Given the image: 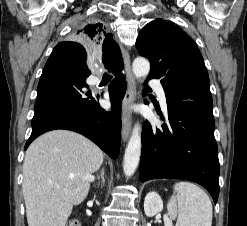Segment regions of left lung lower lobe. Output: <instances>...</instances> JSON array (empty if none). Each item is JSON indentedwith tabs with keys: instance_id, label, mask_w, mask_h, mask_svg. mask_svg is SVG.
Masks as SVG:
<instances>
[{
	"instance_id": "left-lung-lower-lobe-1",
	"label": "left lung lower lobe",
	"mask_w": 247,
	"mask_h": 226,
	"mask_svg": "<svg viewBox=\"0 0 247 226\" xmlns=\"http://www.w3.org/2000/svg\"><path fill=\"white\" fill-rule=\"evenodd\" d=\"M163 88L168 119L161 127L144 123L140 181L190 180L206 188L216 204L220 169L209 81L185 78Z\"/></svg>"
}]
</instances>
